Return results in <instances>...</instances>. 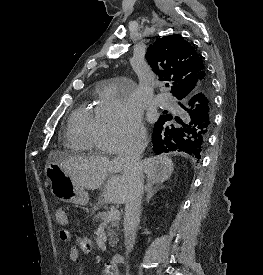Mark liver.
Here are the masks:
<instances>
[{
	"instance_id": "obj_1",
	"label": "liver",
	"mask_w": 263,
	"mask_h": 275,
	"mask_svg": "<svg viewBox=\"0 0 263 275\" xmlns=\"http://www.w3.org/2000/svg\"><path fill=\"white\" fill-rule=\"evenodd\" d=\"M54 161L80 187L88 190L101 188L105 183L103 198L111 204H123L126 201L128 183L119 172L121 166L114 160L104 156L67 157L58 151L50 152L48 162ZM147 182L153 185L168 180L173 173L174 165L167 156L149 157L140 162Z\"/></svg>"
}]
</instances>
